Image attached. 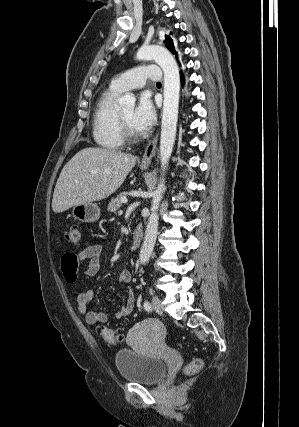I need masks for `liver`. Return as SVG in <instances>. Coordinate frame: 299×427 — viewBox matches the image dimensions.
Segmentation results:
<instances>
[{
	"instance_id": "6515ba94",
	"label": "liver",
	"mask_w": 299,
	"mask_h": 427,
	"mask_svg": "<svg viewBox=\"0 0 299 427\" xmlns=\"http://www.w3.org/2000/svg\"><path fill=\"white\" fill-rule=\"evenodd\" d=\"M136 157L104 148H84L63 167L57 180L52 209L99 201L113 194L136 164Z\"/></svg>"
}]
</instances>
